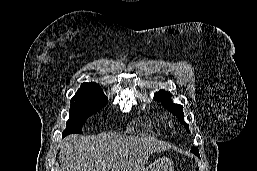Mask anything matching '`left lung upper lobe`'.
Listing matches in <instances>:
<instances>
[{
    "label": "left lung upper lobe",
    "mask_w": 257,
    "mask_h": 171,
    "mask_svg": "<svg viewBox=\"0 0 257 171\" xmlns=\"http://www.w3.org/2000/svg\"><path fill=\"white\" fill-rule=\"evenodd\" d=\"M171 96L172 95L169 92L160 90L158 93L155 94L154 98L156 100H160L165 108H167L171 113L178 117L180 121L184 124L186 130L189 132V125L184 122L183 106L174 104L170 99ZM191 151L195 154H199L198 148L196 147H193Z\"/></svg>",
    "instance_id": "obj_1"
}]
</instances>
